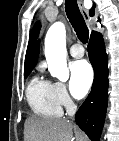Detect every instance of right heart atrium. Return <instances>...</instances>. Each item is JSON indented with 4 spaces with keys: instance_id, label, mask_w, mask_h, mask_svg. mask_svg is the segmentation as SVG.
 Wrapping results in <instances>:
<instances>
[{
    "instance_id": "d8ad5b80",
    "label": "right heart atrium",
    "mask_w": 119,
    "mask_h": 141,
    "mask_svg": "<svg viewBox=\"0 0 119 141\" xmlns=\"http://www.w3.org/2000/svg\"><path fill=\"white\" fill-rule=\"evenodd\" d=\"M55 91L60 104L66 108H69L72 104V100L68 94L67 88L62 82H55Z\"/></svg>"
}]
</instances>
